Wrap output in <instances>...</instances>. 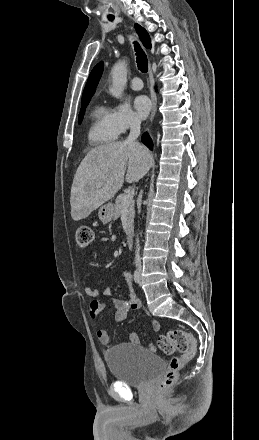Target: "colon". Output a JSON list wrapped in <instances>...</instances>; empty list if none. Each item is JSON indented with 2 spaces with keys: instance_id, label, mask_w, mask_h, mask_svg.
I'll return each mask as SVG.
<instances>
[{
  "instance_id": "obj_1",
  "label": "colon",
  "mask_w": 259,
  "mask_h": 440,
  "mask_svg": "<svg viewBox=\"0 0 259 440\" xmlns=\"http://www.w3.org/2000/svg\"><path fill=\"white\" fill-rule=\"evenodd\" d=\"M75 238L80 247L89 246L94 238L92 228L88 224L79 225L76 229ZM158 344L159 348L166 354L180 353L179 356L170 360L169 370L159 385L160 390H166L176 382L179 372L186 363L194 358L197 344L192 334L181 329H173L160 336Z\"/></svg>"
}]
</instances>
